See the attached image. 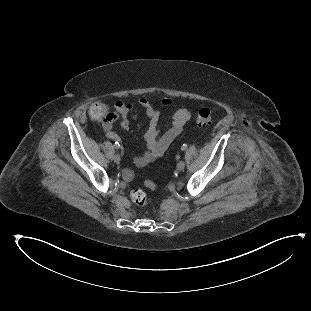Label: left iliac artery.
Segmentation results:
<instances>
[{"label":"left iliac artery","mask_w":311,"mask_h":311,"mask_svg":"<svg viewBox=\"0 0 311 311\" xmlns=\"http://www.w3.org/2000/svg\"><path fill=\"white\" fill-rule=\"evenodd\" d=\"M181 149H182L183 151H185V150L187 149V145H186V144H183L182 147H181Z\"/></svg>","instance_id":"44dca946"}]
</instances>
